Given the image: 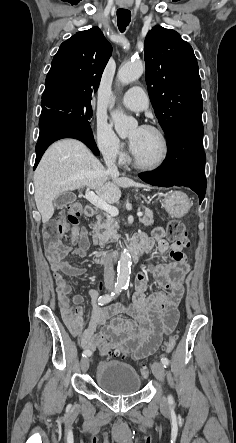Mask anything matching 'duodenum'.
Wrapping results in <instances>:
<instances>
[{
  "instance_id": "1",
  "label": "duodenum",
  "mask_w": 236,
  "mask_h": 443,
  "mask_svg": "<svg viewBox=\"0 0 236 443\" xmlns=\"http://www.w3.org/2000/svg\"><path fill=\"white\" fill-rule=\"evenodd\" d=\"M85 214L87 217L92 218L95 216V209L92 206H87L85 209ZM131 257L134 261L138 260L141 256V250L137 247H131ZM94 260L98 265H105L111 261V257L101 251L94 253Z\"/></svg>"
}]
</instances>
